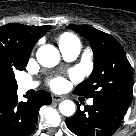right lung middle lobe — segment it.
Segmentation results:
<instances>
[{
  "label": "right lung middle lobe",
  "instance_id": "dd1d6c3e",
  "mask_svg": "<svg viewBox=\"0 0 136 136\" xmlns=\"http://www.w3.org/2000/svg\"><path fill=\"white\" fill-rule=\"evenodd\" d=\"M26 66H14L12 64H5L0 66V97L11 95L17 92V83L15 80V70H23Z\"/></svg>",
  "mask_w": 136,
  "mask_h": 136
}]
</instances>
